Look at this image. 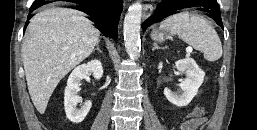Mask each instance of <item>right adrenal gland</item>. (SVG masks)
I'll return each mask as SVG.
<instances>
[{"mask_svg":"<svg viewBox=\"0 0 257 130\" xmlns=\"http://www.w3.org/2000/svg\"><path fill=\"white\" fill-rule=\"evenodd\" d=\"M96 50L99 51L100 53H102V50L99 48V42H98L97 45H96V49L93 50V53H94Z\"/></svg>","mask_w":257,"mask_h":130,"instance_id":"2a0ac1e0","label":"right adrenal gland"}]
</instances>
